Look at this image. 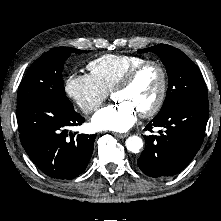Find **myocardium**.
Segmentation results:
<instances>
[{"label":"myocardium","instance_id":"myocardium-1","mask_svg":"<svg viewBox=\"0 0 221 221\" xmlns=\"http://www.w3.org/2000/svg\"><path fill=\"white\" fill-rule=\"evenodd\" d=\"M148 66H154L158 69L160 73V87L159 92L157 95V98L154 102V104L148 108L145 111H142L139 113V116L141 118H149L154 116L159 112L161 109L167 92V85H168V77L165 67L158 61L155 60H146L142 62L141 64L137 65L133 69H131L122 79L121 81L116 85V87L113 90V93L117 91H121L124 89L129 88L136 78L139 76V74Z\"/></svg>","mask_w":221,"mask_h":221}]
</instances>
